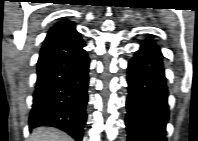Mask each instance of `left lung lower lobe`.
<instances>
[{
    "label": "left lung lower lobe",
    "mask_w": 198,
    "mask_h": 141,
    "mask_svg": "<svg viewBox=\"0 0 198 141\" xmlns=\"http://www.w3.org/2000/svg\"><path fill=\"white\" fill-rule=\"evenodd\" d=\"M125 119L128 141H166L168 89L160 48L152 39L141 43L128 63ZM149 102L145 108L141 100Z\"/></svg>",
    "instance_id": "obj_1"
}]
</instances>
